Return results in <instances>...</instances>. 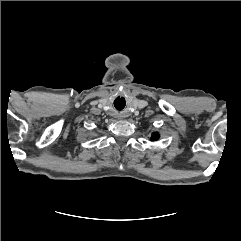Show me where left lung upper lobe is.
Instances as JSON below:
<instances>
[{"instance_id":"obj_1","label":"left lung upper lobe","mask_w":241,"mask_h":241,"mask_svg":"<svg viewBox=\"0 0 241 241\" xmlns=\"http://www.w3.org/2000/svg\"><path fill=\"white\" fill-rule=\"evenodd\" d=\"M159 138V134L158 133H153L152 134V137H151V140L152 141H155V140H157Z\"/></svg>"}]
</instances>
